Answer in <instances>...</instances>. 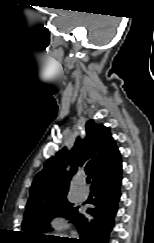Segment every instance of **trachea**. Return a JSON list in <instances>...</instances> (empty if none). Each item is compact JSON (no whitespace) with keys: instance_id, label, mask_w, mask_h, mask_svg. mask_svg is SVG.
<instances>
[{"instance_id":"3493384b","label":"trachea","mask_w":154,"mask_h":243,"mask_svg":"<svg viewBox=\"0 0 154 243\" xmlns=\"http://www.w3.org/2000/svg\"><path fill=\"white\" fill-rule=\"evenodd\" d=\"M87 183H90V177H87Z\"/></svg>"}]
</instances>
